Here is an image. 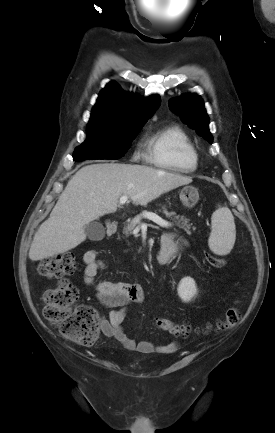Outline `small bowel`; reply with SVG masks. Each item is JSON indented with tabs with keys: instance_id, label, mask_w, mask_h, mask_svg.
<instances>
[{
	"instance_id": "c3829d8e",
	"label": "small bowel",
	"mask_w": 275,
	"mask_h": 433,
	"mask_svg": "<svg viewBox=\"0 0 275 433\" xmlns=\"http://www.w3.org/2000/svg\"><path fill=\"white\" fill-rule=\"evenodd\" d=\"M161 245L169 248L167 253L169 262L178 251L187 247V242L173 233H165L162 235ZM83 262L85 264L84 282L94 288L99 303L105 307H124L121 310L111 311L107 317L101 319V329L105 336L116 339L128 350H137L142 353H169L178 350L180 343L176 341L166 345H156L151 341L136 342L129 338L123 327L127 312L126 306L130 303L138 304L144 300L143 286L138 283L122 281L96 282L95 277L99 270L104 267V264L94 249L87 250L83 254Z\"/></svg>"
}]
</instances>
